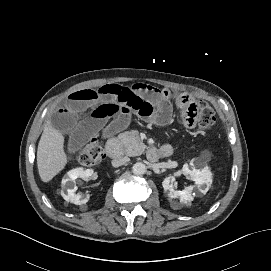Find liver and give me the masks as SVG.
Here are the masks:
<instances>
[{"mask_svg":"<svg viewBox=\"0 0 271 271\" xmlns=\"http://www.w3.org/2000/svg\"><path fill=\"white\" fill-rule=\"evenodd\" d=\"M67 164L64 136L51 121L45 124L37 149V167L43 182L52 180Z\"/></svg>","mask_w":271,"mask_h":271,"instance_id":"6515ba94","label":"liver"}]
</instances>
